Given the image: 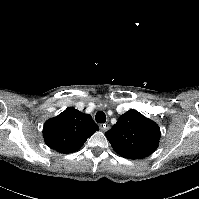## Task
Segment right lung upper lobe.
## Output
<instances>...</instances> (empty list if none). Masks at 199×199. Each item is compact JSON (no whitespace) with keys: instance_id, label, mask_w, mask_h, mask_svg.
Returning <instances> with one entry per match:
<instances>
[{"instance_id":"obj_1","label":"right lung upper lobe","mask_w":199,"mask_h":199,"mask_svg":"<svg viewBox=\"0 0 199 199\" xmlns=\"http://www.w3.org/2000/svg\"><path fill=\"white\" fill-rule=\"evenodd\" d=\"M98 130L91 115L69 107L45 122L43 136L50 148L66 154L77 151Z\"/></svg>"}]
</instances>
